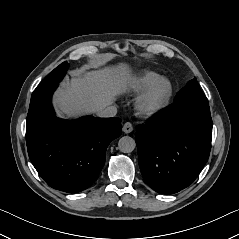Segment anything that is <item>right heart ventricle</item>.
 I'll return each mask as SVG.
<instances>
[{
    "label": "right heart ventricle",
    "instance_id": "obj_1",
    "mask_svg": "<svg viewBox=\"0 0 239 239\" xmlns=\"http://www.w3.org/2000/svg\"><path fill=\"white\" fill-rule=\"evenodd\" d=\"M158 74L153 71H145L128 84V89L132 92H140L146 89L156 78Z\"/></svg>",
    "mask_w": 239,
    "mask_h": 239
}]
</instances>
